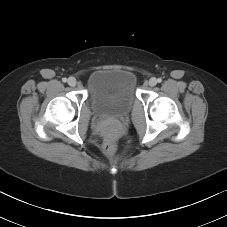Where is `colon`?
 Masks as SVG:
<instances>
[{"label":"colon","mask_w":227,"mask_h":227,"mask_svg":"<svg viewBox=\"0 0 227 227\" xmlns=\"http://www.w3.org/2000/svg\"><path fill=\"white\" fill-rule=\"evenodd\" d=\"M102 150L107 158L111 160L116 158V145L112 141H106L102 146Z\"/></svg>","instance_id":"colon-1"}]
</instances>
